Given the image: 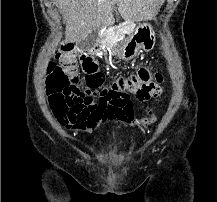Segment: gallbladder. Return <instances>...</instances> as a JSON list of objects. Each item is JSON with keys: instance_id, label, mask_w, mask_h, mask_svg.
<instances>
[{"instance_id": "bac80fb5", "label": "gallbladder", "mask_w": 217, "mask_h": 202, "mask_svg": "<svg viewBox=\"0 0 217 202\" xmlns=\"http://www.w3.org/2000/svg\"><path fill=\"white\" fill-rule=\"evenodd\" d=\"M98 38H99V34L97 30H93L91 34H88L87 38L80 40L79 43L80 51H91L93 46H95Z\"/></svg>"}]
</instances>
